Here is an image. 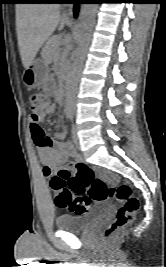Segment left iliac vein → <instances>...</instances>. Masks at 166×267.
Returning a JSON list of instances; mask_svg holds the SVG:
<instances>
[{
	"mask_svg": "<svg viewBox=\"0 0 166 267\" xmlns=\"http://www.w3.org/2000/svg\"><path fill=\"white\" fill-rule=\"evenodd\" d=\"M72 135H73L74 143L76 144V146H79V137L77 135L75 126H73L72 128Z\"/></svg>",
	"mask_w": 166,
	"mask_h": 267,
	"instance_id": "obj_1",
	"label": "left iliac vein"
}]
</instances>
